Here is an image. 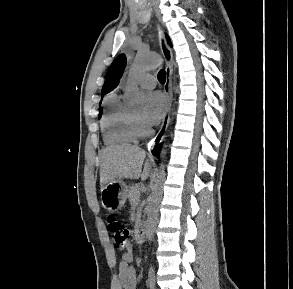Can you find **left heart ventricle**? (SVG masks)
Here are the masks:
<instances>
[{
  "instance_id": "b2bd125f",
  "label": "left heart ventricle",
  "mask_w": 293,
  "mask_h": 289,
  "mask_svg": "<svg viewBox=\"0 0 293 289\" xmlns=\"http://www.w3.org/2000/svg\"><path fill=\"white\" fill-rule=\"evenodd\" d=\"M135 114H136V116L139 117V118H141V116H142V113H141V112H136Z\"/></svg>"
}]
</instances>
